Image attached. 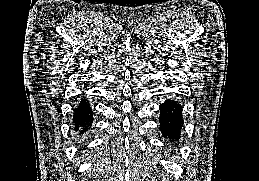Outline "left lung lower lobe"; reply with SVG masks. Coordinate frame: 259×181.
<instances>
[{"label": "left lung lower lobe", "mask_w": 259, "mask_h": 181, "mask_svg": "<svg viewBox=\"0 0 259 181\" xmlns=\"http://www.w3.org/2000/svg\"><path fill=\"white\" fill-rule=\"evenodd\" d=\"M160 130L170 141L180 138L183 127L182 106L174 99H167L160 106Z\"/></svg>", "instance_id": "left-lung-lower-lobe-1"}]
</instances>
